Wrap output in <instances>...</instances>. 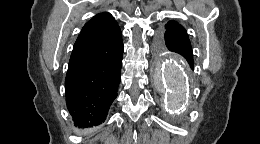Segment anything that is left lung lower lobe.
<instances>
[{
  "mask_svg": "<svg viewBox=\"0 0 260 144\" xmlns=\"http://www.w3.org/2000/svg\"><path fill=\"white\" fill-rule=\"evenodd\" d=\"M159 42L166 44V47L170 51L181 54L187 60L190 67L194 68L192 47L187 34L166 31L159 35Z\"/></svg>",
  "mask_w": 260,
  "mask_h": 144,
  "instance_id": "0a47b994",
  "label": "left lung lower lobe"
}]
</instances>
